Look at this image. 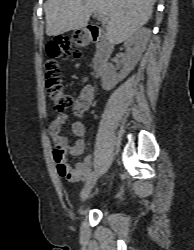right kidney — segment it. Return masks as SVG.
Instances as JSON below:
<instances>
[{"label": "right kidney", "mask_w": 194, "mask_h": 250, "mask_svg": "<svg viewBox=\"0 0 194 250\" xmlns=\"http://www.w3.org/2000/svg\"><path fill=\"white\" fill-rule=\"evenodd\" d=\"M149 39L148 30H140L134 33L124 43L126 48V61L119 74L115 72L114 66L108 64L102 74V88L106 91L113 89L118 82L122 81L134 69L144 52Z\"/></svg>", "instance_id": "right-kidney-1"}]
</instances>
